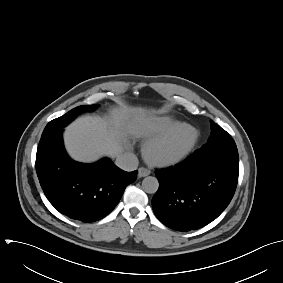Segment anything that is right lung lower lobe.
I'll use <instances>...</instances> for the list:
<instances>
[{
    "label": "right lung lower lobe",
    "mask_w": 283,
    "mask_h": 283,
    "mask_svg": "<svg viewBox=\"0 0 283 283\" xmlns=\"http://www.w3.org/2000/svg\"><path fill=\"white\" fill-rule=\"evenodd\" d=\"M63 128L41 136L36 154L40 185L50 203L63 215L94 222L118 204L137 171L125 172L109 159L82 164L69 158L63 147Z\"/></svg>",
    "instance_id": "1"
}]
</instances>
